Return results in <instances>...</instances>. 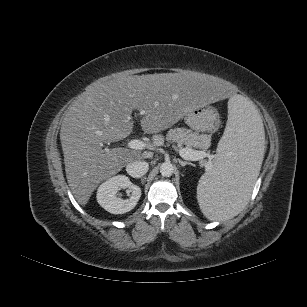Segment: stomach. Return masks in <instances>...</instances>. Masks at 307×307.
I'll return each instance as SVG.
<instances>
[{"label": "stomach", "mask_w": 307, "mask_h": 307, "mask_svg": "<svg viewBox=\"0 0 307 307\" xmlns=\"http://www.w3.org/2000/svg\"><path fill=\"white\" fill-rule=\"evenodd\" d=\"M185 123L195 131L214 132L219 126V114L211 106L196 107L184 117Z\"/></svg>", "instance_id": "stomach-1"}]
</instances>
